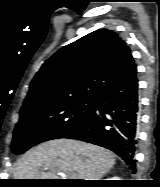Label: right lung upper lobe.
I'll list each match as a JSON object with an SVG mask.
<instances>
[{
    "label": "right lung upper lobe",
    "instance_id": "obj_1",
    "mask_svg": "<svg viewBox=\"0 0 160 187\" xmlns=\"http://www.w3.org/2000/svg\"><path fill=\"white\" fill-rule=\"evenodd\" d=\"M133 64L129 47L115 32H91L45 61L31 82L21 112L96 98Z\"/></svg>",
    "mask_w": 160,
    "mask_h": 187
}]
</instances>
